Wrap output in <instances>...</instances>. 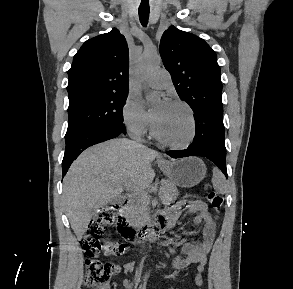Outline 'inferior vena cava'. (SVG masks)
<instances>
[{
	"mask_svg": "<svg viewBox=\"0 0 293 289\" xmlns=\"http://www.w3.org/2000/svg\"><path fill=\"white\" fill-rule=\"evenodd\" d=\"M133 139L136 140L137 142H140L141 141L140 135L134 136Z\"/></svg>",
	"mask_w": 293,
	"mask_h": 289,
	"instance_id": "602c4592",
	"label": "inferior vena cava"
}]
</instances>
